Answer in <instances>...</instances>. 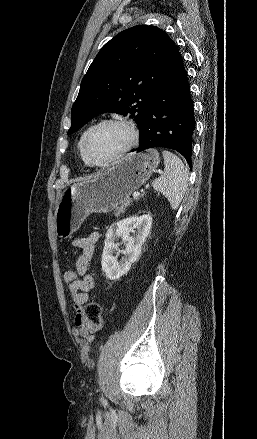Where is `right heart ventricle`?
<instances>
[{"label": "right heart ventricle", "mask_w": 257, "mask_h": 439, "mask_svg": "<svg viewBox=\"0 0 257 439\" xmlns=\"http://www.w3.org/2000/svg\"><path fill=\"white\" fill-rule=\"evenodd\" d=\"M90 129H91V127L86 128V129L82 132V134L80 135V138H79V141H78V150H79L80 156H81V158H82V160H83V162H84L85 165H88V164L86 163V161H85V159H84V157H83V154H82V147H83L84 138H85V136L87 135V133H88V131H89Z\"/></svg>", "instance_id": "1"}]
</instances>
